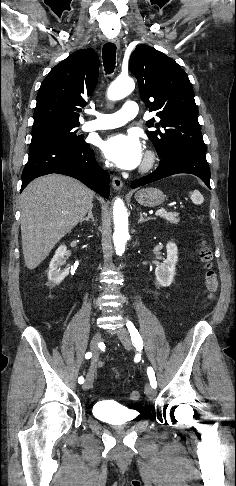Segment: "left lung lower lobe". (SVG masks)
Masks as SVG:
<instances>
[{"mask_svg":"<svg viewBox=\"0 0 236 486\" xmlns=\"http://www.w3.org/2000/svg\"><path fill=\"white\" fill-rule=\"evenodd\" d=\"M205 152H196L185 149L175 150L160 158L158 168L151 174L136 179L131 183V188H136L159 179L178 174L189 173L198 176L210 187V169Z\"/></svg>","mask_w":236,"mask_h":486,"instance_id":"left-lung-lower-lobe-1","label":"left lung lower lobe"}]
</instances>
